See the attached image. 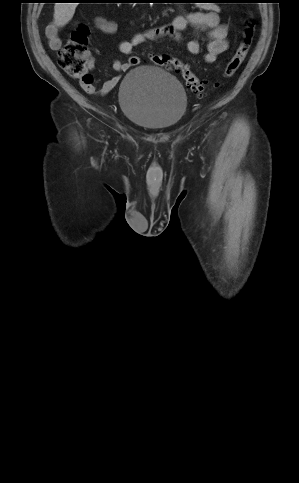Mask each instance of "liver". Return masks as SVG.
<instances>
[{"label": "liver", "mask_w": 299, "mask_h": 483, "mask_svg": "<svg viewBox=\"0 0 299 483\" xmlns=\"http://www.w3.org/2000/svg\"><path fill=\"white\" fill-rule=\"evenodd\" d=\"M78 3H55L54 20L58 26L66 25L73 17Z\"/></svg>", "instance_id": "liver-1"}]
</instances>
